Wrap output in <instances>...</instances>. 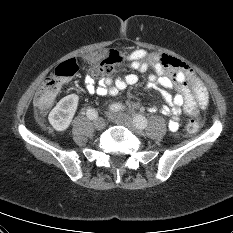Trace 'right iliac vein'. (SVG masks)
<instances>
[{"instance_id": "obj_1", "label": "right iliac vein", "mask_w": 233, "mask_h": 233, "mask_svg": "<svg viewBox=\"0 0 233 233\" xmlns=\"http://www.w3.org/2000/svg\"><path fill=\"white\" fill-rule=\"evenodd\" d=\"M94 127L97 130H101L105 127V121L102 118H97L94 120Z\"/></svg>"}]
</instances>
